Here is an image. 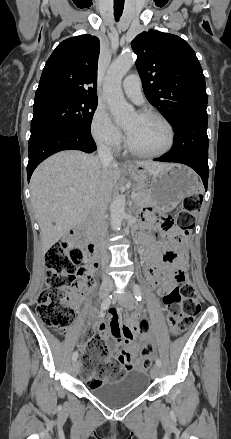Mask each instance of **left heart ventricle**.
Returning <instances> with one entry per match:
<instances>
[{
    "label": "left heart ventricle",
    "instance_id": "b2bd125f",
    "mask_svg": "<svg viewBox=\"0 0 231 439\" xmlns=\"http://www.w3.org/2000/svg\"><path fill=\"white\" fill-rule=\"evenodd\" d=\"M131 145L142 152H155L168 143V130L157 118L132 115L124 124Z\"/></svg>",
    "mask_w": 231,
    "mask_h": 439
}]
</instances>
